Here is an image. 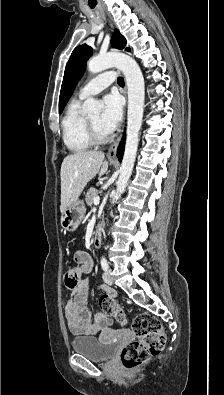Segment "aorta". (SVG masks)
<instances>
[{
	"instance_id": "obj_1",
	"label": "aorta",
	"mask_w": 224,
	"mask_h": 395,
	"mask_svg": "<svg viewBox=\"0 0 224 395\" xmlns=\"http://www.w3.org/2000/svg\"><path fill=\"white\" fill-rule=\"evenodd\" d=\"M111 67L122 71L128 89L126 144L120 176L116 182V193L112 199V203H115L124 192L134 167L144 113L145 83L137 62L123 53L98 55L90 59L87 64L88 71L94 74ZM102 107V103L93 98L87 99L84 103V111L88 114H99Z\"/></svg>"
}]
</instances>
